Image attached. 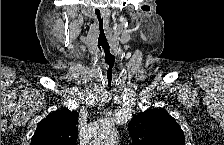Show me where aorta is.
Listing matches in <instances>:
<instances>
[{"label":"aorta","mask_w":224,"mask_h":145,"mask_svg":"<svg viewBox=\"0 0 224 145\" xmlns=\"http://www.w3.org/2000/svg\"><path fill=\"white\" fill-rule=\"evenodd\" d=\"M117 139V131L113 127H106L98 135L96 143L97 145H115Z\"/></svg>","instance_id":"1"}]
</instances>
